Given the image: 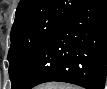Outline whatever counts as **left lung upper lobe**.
Segmentation results:
<instances>
[{"instance_id": "obj_1", "label": "left lung upper lobe", "mask_w": 107, "mask_h": 89, "mask_svg": "<svg viewBox=\"0 0 107 89\" xmlns=\"http://www.w3.org/2000/svg\"><path fill=\"white\" fill-rule=\"evenodd\" d=\"M87 0H21L8 53L13 87L48 38Z\"/></svg>"}]
</instances>
